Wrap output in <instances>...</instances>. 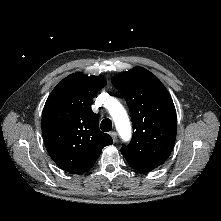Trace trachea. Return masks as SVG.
<instances>
[{
	"instance_id": "1",
	"label": "trachea",
	"mask_w": 221,
	"mask_h": 221,
	"mask_svg": "<svg viewBox=\"0 0 221 221\" xmlns=\"http://www.w3.org/2000/svg\"><path fill=\"white\" fill-rule=\"evenodd\" d=\"M100 128L103 132H109L112 129V122L110 119H104L101 124Z\"/></svg>"
}]
</instances>
